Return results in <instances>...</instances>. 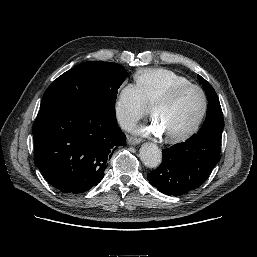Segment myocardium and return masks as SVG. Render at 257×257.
I'll use <instances>...</instances> for the list:
<instances>
[{
  "label": "myocardium",
  "mask_w": 257,
  "mask_h": 257,
  "mask_svg": "<svg viewBox=\"0 0 257 257\" xmlns=\"http://www.w3.org/2000/svg\"><path fill=\"white\" fill-rule=\"evenodd\" d=\"M191 89L197 90L201 95L202 108H201L200 114L195 120V122L188 129L176 134L166 135V139L170 142H178V141L185 140L190 136H192L194 133H196V131L199 129L208 112L209 103H208V97L205 91L200 86L192 83L179 85L172 88L168 92L164 93L160 97H158L151 105L150 112H151V115L155 117V109L157 107L172 103L178 98L179 95Z\"/></svg>",
  "instance_id": "f54148a6"
}]
</instances>
